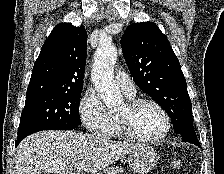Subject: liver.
I'll list each match as a JSON object with an SVG mask.
<instances>
[{
	"label": "liver",
	"mask_w": 224,
	"mask_h": 174,
	"mask_svg": "<svg viewBox=\"0 0 224 174\" xmlns=\"http://www.w3.org/2000/svg\"><path fill=\"white\" fill-rule=\"evenodd\" d=\"M139 146L72 131L37 132L18 145L15 174L97 173Z\"/></svg>",
	"instance_id": "obj_1"
}]
</instances>
